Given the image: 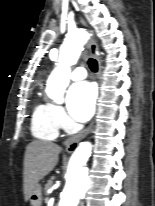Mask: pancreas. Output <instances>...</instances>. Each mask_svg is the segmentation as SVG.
I'll return each instance as SVG.
<instances>
[{
	"mask_svg": "<svg viewBox=\"0 0 155 206\" xmlns=\"http://www.w3.org/2000/svg\"><path fill=\"white\" fill-rule=\"evenodd\" d=\"M52 184H53V179H50V180L46 183V185H45V187H44V193H45L46 196H47V191H48V189L52 186Z\"/></svg>",
	"mask_w": 155,
	"mask_h": 206,
	"instance_id": "1",
	"label": "pancreas"
}]
</instances>
